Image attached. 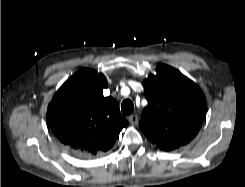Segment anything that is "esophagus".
<instances>
[{"label":"esophagus","mask_w":245,"mask_h":187,"mask_svg":"<svg viewBox=\"0 0 245 187\" xmlns=\"http://www.w3.org/2000/svg\"><path fill=\"white\" fill-rule=\"evenodd\" d=\"M128 121L132 125H137L138 124V116L136 114H132V115L128 116Z\"/></svg>","instance_id":"esophagus-1"}]
</instances>
